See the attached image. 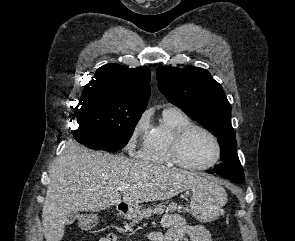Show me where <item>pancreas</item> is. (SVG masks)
I'll return each mask as SVG.
<instances>
[{
  "label": "pancreas",
  "mask_w": 295,
  "mask_h": 241,
  "mask_svg": "<svg viewBox=\"0 0 295 241\" xmlns=\"http://www.w3.org/2000/svg\"><path fill=\"white\" fill-rule=\"evenodd\" d=\"M185 210L186 209L183 206L178 205L177 203H170L168 205L161 203L154 206L153 208L148 207L145 210L138 212V214H136L133 217L131 225L137 224L143 218H149L152 214H163L164 212H176V211L180 213Z\"/></svg>",
  "instance_id": "cf45deb5"
}]
</instances>
